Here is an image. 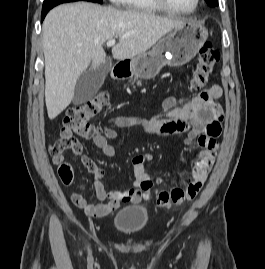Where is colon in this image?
<instances>
[{
  "mask_svg": "<svg viewBox=\"0 0 265 269\" xmlns=\"http://www.w3.org/2000/svg\"><path fill=\"white\" fill-rule=\"evenodd\" d=\"M220 59L219 52L210 42L204 43L198 52L196 68L190 80L189 88L199 90L206 86L213 73L216 63ZM108 103V96L105 93L98 94L80 106L69 109L62 121L59 130V139L50 147L58 164V175L64 184H71L73 181V167L63 162L61 153L72 149L76 137H88L97 134V129L91 120L99 115ZM221 132L220 122L214 121L208 129V134L218 137ZM192 183L185 190L176 187L171 191H159L150 195L160 206H177L187 199H192L198 192Z\"/></svg>",
  "mask_w": 265,
  "mask_h": 269,
  "instance_id": "colon-1",
  "label": "colon"
}]
</instances>
